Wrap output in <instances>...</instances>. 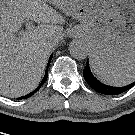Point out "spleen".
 Instances as JSON below:
<instances>
[{
    "mask_svg": "<svg viewBox=\"0 0 135 135\" xmlns=\"http://www.w3.org/2000/svg\"><path fill=\"white\" fill-rule=\"evenodd\" d=\"M90 63L94 72L109 85L125 86L135 81V61L124 68L110 71L99 69L100 64L94 59Z\"/></svg>",
    "mask_w": 135,
    "mask_h": 135,
    "instance_id": "3e777b00",
    "label": "spleen"
}]
</instances>
